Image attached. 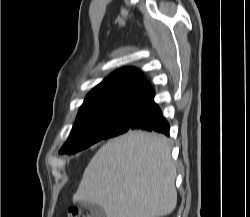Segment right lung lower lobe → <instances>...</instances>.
<instances>
[{"label":"right lung lower lobe","mask_w":250,"mask_h":217,"mask_svg":"<svg viewBox=\"0 0 250 217\" xmlns=\"http://www.w3.org/2000/svg\"><path fill=\"white\" fill-rule=\"evenodd\" d=\"M130 129H141L169 135V123L154 102V95L142 103Z\"/></svg>","instance_id":"right-lung-lower-lobe-1"}]
</instances>
